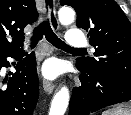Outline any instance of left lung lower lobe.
<instances>
[{
	"label": "left lung lower lobe",
	"mask_w": 131,
	"mask_h": 115,
	"mask_svg": "<svg viewBox=\"0 0 131 115\" xmlns=\"http://www.w3.org/2000/svg\"><path fill=\"white\" fill-rule=\"evenodd\" d=\"M76 66L82 72L81 86L73 88L69 115H89L106 106L131 101V80L93 74Z\"/></svg>",
	"instance_id": "0a47b994"
}]
</instances>
